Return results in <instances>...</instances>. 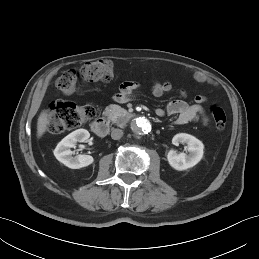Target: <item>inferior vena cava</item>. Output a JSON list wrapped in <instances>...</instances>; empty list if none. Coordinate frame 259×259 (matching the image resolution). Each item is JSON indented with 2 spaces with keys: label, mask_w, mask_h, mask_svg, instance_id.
I'll use <instances>...</instances> for the list:
<instances>
[{
  "label": "inferior vena cava",
  "mask_w": 259,
  "mask_h": 259,
  "mask_svg": "<svg viewBox=\"0 0 259 259\" xmlns=\"http://www.w3.org/2000/svg\"><path fill=\"white\" fill-rule=\"evenodd\" d=\"M123 136V131L121 129H112L111 137L114 140H119Z\"/></svg>",
  "instance_id": "obj_1"
}]
</instances>
